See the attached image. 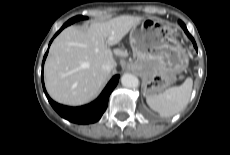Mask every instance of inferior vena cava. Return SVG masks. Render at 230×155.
<instances>
[{"label":"inferior vena cava","mask_w":230,"mask_h":155,"mask_svg":"<svg viewBox=\"0 0 230 155\" xmlns=\"http://www.w3.org/2000/svg\"><path fill=\"white\" fill-rule=\"evenodd\" d=\"M114 68H115V62L113 60H109L108 62L103 64V69L107 72H111V70Z\"/></svg>","instance_id":"602c4592"}]
</instances>
